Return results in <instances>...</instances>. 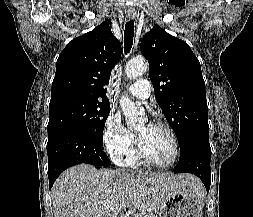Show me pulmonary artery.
<instances>
[{"label":"pulmonary artery","mask_w":253,"mask_h":217,"mask_svg":"<svg viewBox=\"0 0 253 217\" xmlns=\"http://www.w3.org/2000/svg\"><path fill=\"white\" fill-rule=\"evenodd\" d=\"M127 90L132 96L146 100L150 97L151 85L148 80L141 78L131 84Z\"/></svg>","instance_id":"e3ab8cb5"}]
</instances>
